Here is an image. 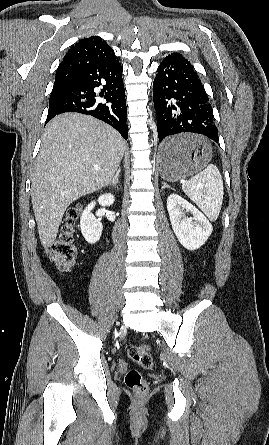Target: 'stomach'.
Here are the masks:
<instances>
[{
  "mask_svg": "<svg viewBox=\"0 0 269 445\" xmlns=\"http://www.w3.org/2000/svg\"><path fill=\"white\" fill-rule=\"evenodd\" d=\"M166 142L178 143L180 152L166 156L162 147L159 152V171L161 177L169 182H175L201 171L210 161L212 147L200 136L184 134L168 138Z\"/></svg>",
  "mask_w": 269,
  "mask_h": 445,
  "instance_id": "1",
  "label": "stomach"
}]
</instances>
